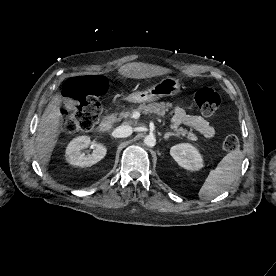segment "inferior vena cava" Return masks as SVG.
Listing matches in <instances>:
<instances>
[{"mask_svg":"<svg viewBox=\"0 0 276 276\" xmlns=\"http://www.w3.org/2000/svg\"><path fill=\"white\" fill-rule=\"evenodd\" d=\"M133 128L129 125H121L116 128L115 134L119 138H125L132 134Z\"/></svg>","mask_w":276,"mask_h":276,"instance_id":"602c4592","label":"inferior vena cava"}]
</instances>
